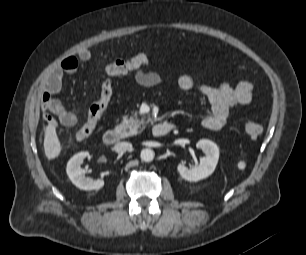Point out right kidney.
<instances>
[{
  "label": "right kidney",
  "instance_id": "1",
  "mask_svg": "<svg viewBox=\"0 0 306 255\" xmlns=\"http://www.w3.org/2000/svg\"><path fill=\"white\" fill-rule=\"evenodd\" d=\"M89 152L82 151L75 154L67 163L66 172L71 182L82 190H99L104 186L101 179L93 180L85 176L86 171L80 167Z\"/></svg>",
  "mask_w": 306,
  "mask_h": 255
}]
</instances>
